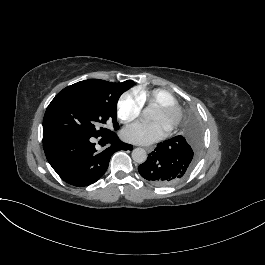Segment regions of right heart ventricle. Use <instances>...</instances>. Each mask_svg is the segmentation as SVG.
Segmentation results:
<instances>
[{
    "label": "right heart ventricle",
    "instance_id": "obj_1",
    "mask_svg": "<svg viewBox=\"0 0 265 265\" xmlns=\"http://www.w3.org/2000/svg\"><path fill=\"white\" fill-rule=\"evenodd\" d=\"M136 95L141 99L143 105L156 107L163 103H176L174 96L164 89H154L152 91L139 89L136 91Z\"/></svg>",
    "mask_w": 265,
    "mask_h": 265
}]
</instances>
